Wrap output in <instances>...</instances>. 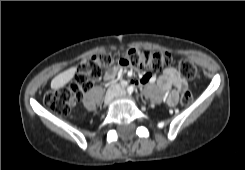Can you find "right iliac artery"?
Here are the masks:
<instances>
[{
    "label": "right iliac artery",
    "mask_w": 245,
    "mask_h": 170,
    "mask_svg": "<svg viewBox=\"0 0 245 170\" xmlns=\"http://www.w3.org/2000/svg\"><path fill=\"white\" fill-rule=\"evenodd\" d=\"M120 85L122 87H126L128 85V82L123 80V81H121Z\"/></svg>",
    "instance_id": "obj_1"
}]
</instances>
